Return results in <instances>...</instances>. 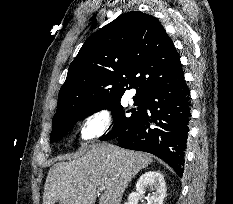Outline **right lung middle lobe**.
<instances>
[{
  "instance_id": "dd1d6c3e",
  "label": "right lung middle lobe",
  "mask_w": 233,
  "mask_h": 204,
  "mask_svg": "<svg viewBox=\"0 0 233 204\" xmlns=\"http://www.w3.org/2000/svg\"><path fill=\"white\" fill-rule=\"evenodd\" d=\"M133 100L134 105H136L137 108L127 111L132 112L131 116H126L125 112L123 111V107L120 105V99H114L91 109L80 110L76 113L69 115L63 120L53 123L50 142H55L61 137H63L69 130L73 128L74 124L77 121L82 120L85 117L91 115L92 113L100 111L102 109H109L112 111L114 126L113 129L107 135L103 136L100 139H111L120 132L126 130L137 118V116L142 112L144 105V96H135L133 97Z\"/></svg>"
}]
</instances>
